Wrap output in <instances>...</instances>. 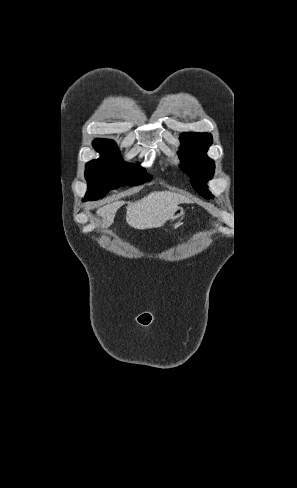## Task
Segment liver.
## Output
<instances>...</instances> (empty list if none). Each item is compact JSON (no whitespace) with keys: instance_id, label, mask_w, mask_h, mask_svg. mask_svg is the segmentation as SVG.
Returning a JSON list of instances; mask_svg holds the SVG:
<instances>
[{"instance_id":"1","label":"liver","mask_w":297,"mask_h":488,"mask_svg":"<svg viewBox=\"0 0 297 488\" xmlns=\"http://www.w3.org/2000/svg\"><path fill=\"white\" fill-rule=\"evenodd\" d=\"M184 201L186 198L178 193L152 192L139 201L127 203L126 222L139 230L157 227L167 221L173 209ZM123 203L113 202L97 210V214L103 219V227L108 228L113 223L115 214Z\"/></svg>"}]
</instances>
